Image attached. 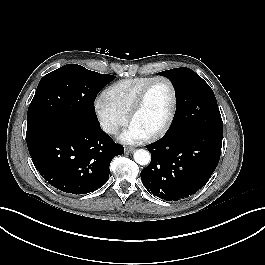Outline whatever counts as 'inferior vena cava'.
Listing matches in <instances>:
<instances>
[{
    "instance_id": "inferior-vena-cava-1",
    "label": "inferior vena cava",
    "mask_w": 265,
    "mask_h": 265,
    "mask_svg": "<svg viewBox=\"0 0 265 265\" xmlns=\"http://www.w3.org/2000/svg\"><path fill=\"white\" fill-rule=\"evenodd\" d=\"M103 130L109 134H116L118 132V127L113 124H105Z\"/></svg>"
}]
</instances>
